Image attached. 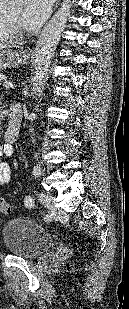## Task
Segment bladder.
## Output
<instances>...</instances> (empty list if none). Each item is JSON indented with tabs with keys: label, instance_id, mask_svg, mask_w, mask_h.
Masks as SVG:
<instances>
[{
	"label": "bladder",
	"instance_id": "bladder-1",
	"mask_svg": "<svg viewBox=\"0 0 129 309\" xmlns=\"http://www.w3.org/2000/svg\"><path fill=\"white\" fill-rule=\"evenodd\" d=\"M1 235L10 253L24 258L36 257L54 245V238L46 229L24 218L8 221Z\"/></svg>",
	"mask_w": 129,
	"mask_h": 309
}]
</instances>
